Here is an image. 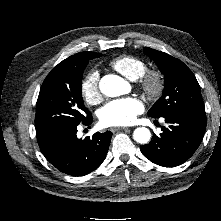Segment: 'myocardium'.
Here are the masks:
<instances>
[{
    "mask_svg": "<svg viewBox=\"0 0 221 221\" xmlns=\"http://www.w3.org/2000/svg\"><path fill=\"white\" fill-rule=\"evenodd\" d=\"M142 91L150 98H158L164 91V76L159 70L146 71L140 78Z\"/></svg>",
    "mask_w": 221,
    "mask_h": 221,
    "instance_id": "f54148a6",
    "label": "myocardium"
}]
</instances>
